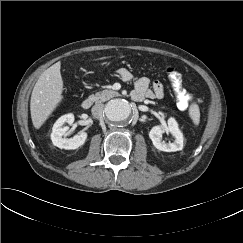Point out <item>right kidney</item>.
I'll return each mask as SVG.
<instances>
[{"instance_id": "ca27d5eb", "label": "right kidney", "mask_w": 243, "mask_h": 243, "mask_svg": "<svg viewBox=\"0 0 243 243\" xmlns=\"http://www.w3.org/2000/svg\"><path fill=\"white\" fill-rule=\"evenodd\" d=\"M74 122V115L72 113L61 116L53 125L51 140L53 145L57 146L60 149H77L82 146L86 139V132H79L72 138H65L64 135L68 131L69 127L63 126L65 123L72 124Z\"/></svg>"}]
</instances>
